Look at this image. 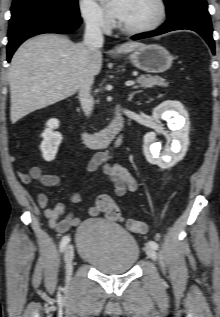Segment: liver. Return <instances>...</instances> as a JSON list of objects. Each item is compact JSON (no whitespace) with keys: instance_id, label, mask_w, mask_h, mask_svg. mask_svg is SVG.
<instances>
[{"instance_id":"6515ba94","label":"liver","mask_w":220,"mask_h":317,"mask_svg":"<svg viewBox=\"0 0 220 317\" xmlns=\"http://www.w3.org/2000/svg\"><path fill=\"white\" fill-rule=\"evenodd\" d=\"M141 46L127 42L117 52ZM101 68L100 49L90 53L84 43H73L66 36L42 34L27 40L14 53L8 72L11 122L74 95L85 78L98 75Z\"/></svg>"}]
</instances>
